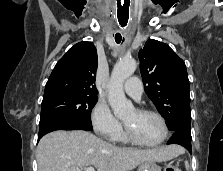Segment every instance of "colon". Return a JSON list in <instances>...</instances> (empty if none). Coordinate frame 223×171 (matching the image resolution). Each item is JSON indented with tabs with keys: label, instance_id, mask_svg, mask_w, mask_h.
Returning a JSON list of instances; mask_svg holds the SVG:
<instances>
[{
	"label": "colon",
	"instance_id": "colon-1",
	"mask_svg": "<svg viewBox=\"0 0 223 171\" xmlns=\"http://www.w3.org/2000/svg\"><path fill=\"white\" fill-rule=\"evenodd\" d=\"M164 171H181L176 165H168Z\"/></svg>",
	"mask_w": 223,
	"mask_h": 171
}]
</instances>
